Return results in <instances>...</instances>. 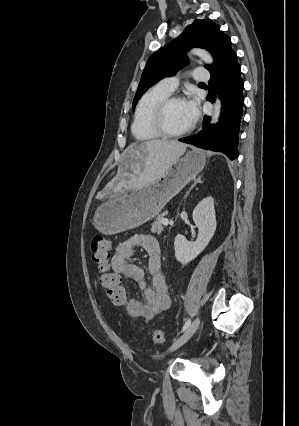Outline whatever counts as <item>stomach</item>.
Listing matches in <instances>:
<instances>
[{"mask_svg": "<svg viewBox=\"0 0 299 426\" xmlns=\"http://www.w3.org/2000/svg\"><path fill=\"white\" fill-rule=\"evenodd\" d=\"M205 162L204 153L196 149L178 157L158 180L132 187L101 204L93 217L94 227L112 235L148 222L203 170Z\"/></svg>", "mask_w": 299, "mask_h": 426, "instance_id": "1", "label": "stomach"}]
</instances>
